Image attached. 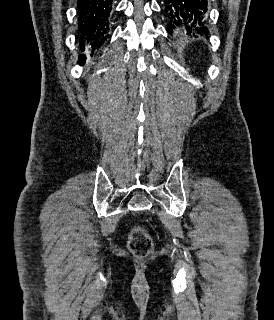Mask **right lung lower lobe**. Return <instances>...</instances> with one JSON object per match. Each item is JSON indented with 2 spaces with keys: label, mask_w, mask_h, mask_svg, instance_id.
<instances>
[{
  "label": "right lung lower lobe",
  "mask_w": 274,
  "mask_h": 320,
  "mask_svg": "<svg viewBox=\"0 0 274 320\" xmlns=\"http://www.w3.org/2000/svg\"><path fill=\"white\" fill-rule=\"evenodd\" d=\"M113 0H78L77 17L80 33V49L85 50L91 45L93 52L104 43L112 17ZM80 62L86 61V56H79Z\"/></svg>",
  "instance_id": "1"
}]
</instances>
